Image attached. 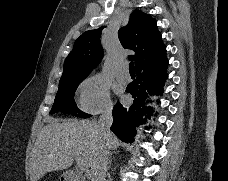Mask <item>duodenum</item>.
<instances>
[{
    "label": "duodenum",
    "mask_w": 228,
    "mask_h": 181,
    "mask_svg": "<svg viewBox=\"0 0 228 181\" xmlns=\"http://www.w3.org/2000/svg\"><path fill=\"white\" fill-rule=\"evenodd\" d=\"M63 181H82V178L77 177V172H68V174H65Z\"/></svg>",
    "instance_id": "duodenum-1"
}]
</instances>
